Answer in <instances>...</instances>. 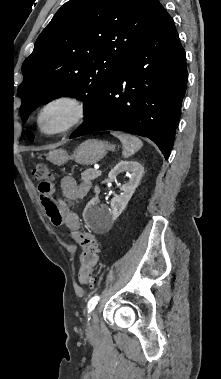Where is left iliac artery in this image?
Masks as SVG:
<instances>
[{
    "label": "left iliac artery",
    "instance_id": "left-iliac-artery-1",
    "mask_svg": "<svg viewBox=\"0 0 221 379\" xmlns=\"http://www.w3.org/2000/svg\"><path fill=\"white\" fill-rule=\"evenodd\" d=\"M99 300H100V296L98 295L93 296L89 300L88 305H87L88 312H91L95 308Z\"/></svg>",
    "mask_w": 221,
    "mask_h": 379
}]
</instances>
